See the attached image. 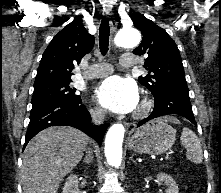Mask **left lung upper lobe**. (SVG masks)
Returning a JSON list of instances; mask_svg holds the SVG:
<instances>
[{"instance_id": "left-lung-upper-lobe-1", "label": "left lung upper lobe", "mask_w": 221, "mask_h": 193, "mask_svg": "<svg viewBox=\"0 0 221 193\" xmlns=\"http://www.w3.org/2000/svg\"><path fill=\"white\" fill-rule=\"evenodd\" d=\"M131 18L143 35L133 53L147 57L143 67L148 74L140 76L139 82L152 92L154 98L172 86H187L182 59L173 39L143 15L134 13Z\"/></svg>"}]
</instances>
